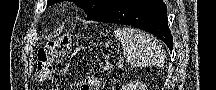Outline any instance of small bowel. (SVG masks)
<instances>
[{
	"instance_id": "1",
	"label": "small bowel",
	"mask_w": 216,
	"mask_h": 90,
	"mask_svg": "<svg viewBox=\"0 0 216 90\" xmlns=\"http://www.w3.org/2000/svg\"><path fill=\"white\" fill-rule=\"evenodd\" d=\"M99 81L96 77L90 76L83 79L79 85L78 90H98ZM50 90H61L58 88H52Z\"/></svg>"
}]
</instances>
